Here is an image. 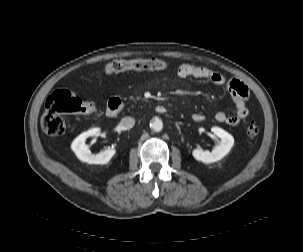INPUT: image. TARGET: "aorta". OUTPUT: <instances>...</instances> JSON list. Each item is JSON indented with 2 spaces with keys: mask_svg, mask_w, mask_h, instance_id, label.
I'll use <instances>...</instances> for the list:
<instances>
[{
  "mask_svg": "<svg viewBox=\"0 0 303 252\" xmlns=\"http://www.w3.org/2000/svg\"><path fill=\"white\" fill-rule=\"evenodd\" d=\"M150 127L155 132H160L163 129V122L159 118H153L150 122Z\"/></svg>",
  "mask_w": 303,
  "mask_h": 252,
  "instance_id": "aorta-1",
  "label": "aorta"
}]
</instances>
